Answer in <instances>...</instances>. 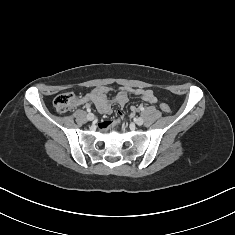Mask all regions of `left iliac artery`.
I'll return each mask as SVG.
<instances>
[{"label":"left iliac artery","instance_id":"obj_1","mask_svg":"<svg viewBox=\"0 0 235 235\" xmlns=\"http://www.w3.org/2000/svg\"><path fill=\"white\" fill-rule=\"evenodd\" d=\"M139 110H140V111H144V107H143V106H140V107H139Z\"/></svg>","mask_w":235,"mask_h":235}]
</instances>
